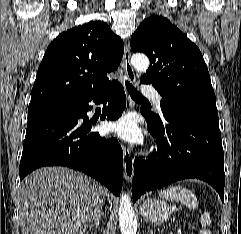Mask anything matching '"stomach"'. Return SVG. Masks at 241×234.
I'll return each mask as SVG.
<instances>
[{
    "instance_id": "1",
    "label": "stomach",
    "mask_w": 241,
    "mask_h": 234,
    "mask_svg": "<svg viewBox=\"0 0 241 234\" xmlns=\"http://www.w3.org/2000/svg\"><path fill=\"white\" fill-rule=\"evenodd\" d=\"M139 209L141 215L152 223H162L171 216V207L160 199H146Z\"/></svg>"
}]
</instances>
